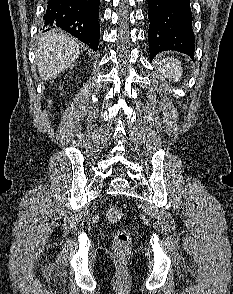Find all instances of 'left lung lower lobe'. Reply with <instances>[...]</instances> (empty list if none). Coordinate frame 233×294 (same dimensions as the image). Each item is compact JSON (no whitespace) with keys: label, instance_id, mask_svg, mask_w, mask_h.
Masks as SVG:
<instances>
[{"label":"left lung lower lobe","instance_id":"obj_1","mask_svg":"<svg viewBox=\"0 0 233 294\" xmlns=\"http://www.w3.org/2000/svg\"><path fill=\"white\" fill-rule=\"evenodd\" d=\"M150 58L165 50L193 58L194 33L189 0H147Z\"/></svg>","mask_w":233,"mask_h":294}]
</instances>
